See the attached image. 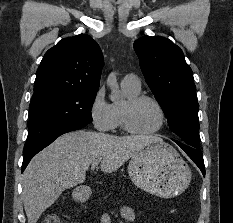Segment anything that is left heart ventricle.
<instances>
[{
	"instance_id": "b2bd125f",
	"label": "left heart ventricle",
	"mask_w": 233,
	"mask_h": 223,
	"mask_svg": "<svg viewBox=\"0 0 233 223\" xmlns=\"http://www.w3.org/2000/svg\"><path fill=\"white\" fill-rule=\"evenodd\" d=\"M161 114L157 106L150 101L140 103L133 112L132 123L140 132H152L161 125Z\"/></svg>"
}]
</instances>
